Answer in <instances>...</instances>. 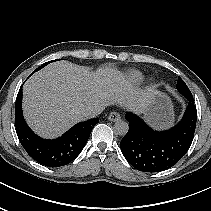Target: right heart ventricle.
<instances>
[{
  "label": "right heart ventricle",
  "mask_w": 211,
  "mask_h": 211,
  "mask_svg": "<svg viewBox=\"0 0 211 211\" xmlns=\"http://www.w3.org/2000/svg\"><path fill=\"white\" fill-rule=\"evenodd\" d=\"M127 79L131 84H139L143 80V75L139 71H130L127 75Z\"/></svg>",
  "instance_id": "1"
}]
</instances>
